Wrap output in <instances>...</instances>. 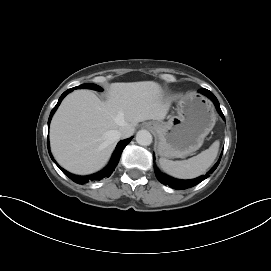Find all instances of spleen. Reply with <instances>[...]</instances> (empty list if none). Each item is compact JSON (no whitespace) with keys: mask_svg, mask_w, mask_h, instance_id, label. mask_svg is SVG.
<instances>
[{"mask_svg":"<svg viewBox=\"0 0 271 271\" xmlns=\"http://www.w3.org/2000/svg\"><path fill=\"white\" fill-rule=\"evenodd\" d=\"M220 142L215 141L208 149L184 161L160 158L161 168L168 175L178 179H192L204 174L217 157Z\"/></svg>","mask_w":271,"mask_h":271,"instance_id":"spleen-1","label":"spleen"}]
</instances>
